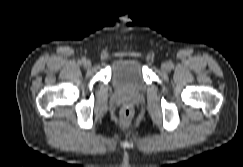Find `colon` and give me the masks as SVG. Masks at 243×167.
Listing matches in <instances>:
<instances>
[{"instance_id": "1", "label": "colon", "mask_w": 243, "mask_h": 167, "mask_svg": "<svg viewBox=\"0 0 243 167\" xmlns=\"http://www.w3.org/2000/svg\"><path fill=\"white\" fill-rule=\"evenodd\" d=\"M133 110L130 107H124L120 112V123L123 126H129L132 122Z\"/></svg>"}]
</instances>
